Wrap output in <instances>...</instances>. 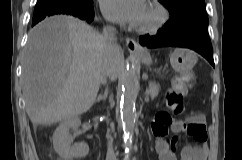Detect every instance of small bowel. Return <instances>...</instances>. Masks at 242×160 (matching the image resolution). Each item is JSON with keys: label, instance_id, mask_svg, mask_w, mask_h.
<instances>
[{"label": "small bowel", "instance_id": "c3829d8e", "mask_svg": "<svg viewBox=\"0 0 242 160\" xmlns=\"http://www.w3.org/2000/svg\"><path fill=\"white\" fill-rule=\"evenodd\" d=\"M197 125H202L205 128L204 119L201 115H192L186 120H173L170 124L173 133L172 137L167 136L168 131L161 134L154 133L157 136L155 148L159 155V160H178L174 151L178 135L187 132V134L193 137V134L188 133V131L190 129L194 130ZM206 140L207 137L205 140L196 141L197 145L184 146L181 150L179 160H206L208 151Z\"/></svg>", "mask_w": 242, "mask_h": 160}]
</instances>
